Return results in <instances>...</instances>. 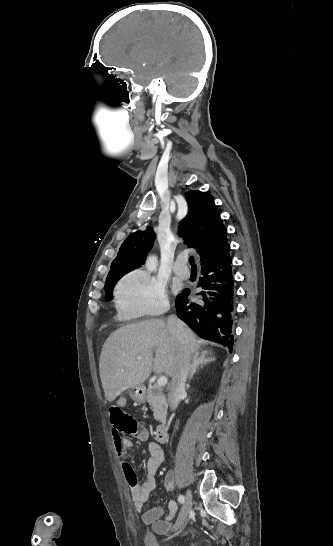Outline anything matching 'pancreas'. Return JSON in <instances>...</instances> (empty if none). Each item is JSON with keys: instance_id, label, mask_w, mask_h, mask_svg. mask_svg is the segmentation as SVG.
Wrapping results in <instances>:
<instances>
[{"instance_id": "1", "label": "pancreas", "mask_w": 333, "mask_h": 546, "mask_svg": "<svg viewBox=\"0 0 333 546\" xmlns=\"http://www.w3.org/2000/svg\"><path fill=\"white\" fill-rule=\"evenodd\" d=\"M147 402L153 409L154 418L157 421H161L167 414V400L163 393V390L157 384L150 386L147 390Z\"/></svg>"}]
</instances>
